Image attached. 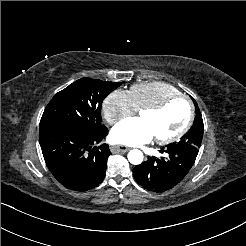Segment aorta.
Here are the masks:
<instances>
[{
	"mask_svg": "<svg viewBox=\"0 0 246 246\" xmlns=\"http://www.w3.org/2000/svg\"><path fill=\"white\" fill-rule=\"evenodd\" d=\"M143 153L138 149L130 150L128 153V160L133 165H139L143 162Z\"/></svg>",
	"mask_w": 246,
	"mask_h": 246,
	"instance_id": "aorta-1",
	"label": "aorta"
}]
</instances>
